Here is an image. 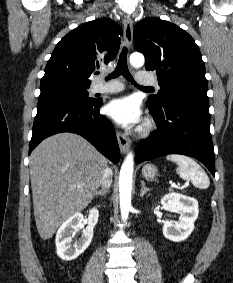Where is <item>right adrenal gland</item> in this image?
Listing matches in <instances>:
<instances>
[{
  "instance_id": "right-adrenal-gland-1",
  "label": "right adrenal gland",
  "mask_w": 233,
  "mask_h": 283,
  "mask_svg": "<svg viewBox=\"0 0 233 283\" xmlns=\"http://www.w3.org/2000/svg\"><path fill=\"white\" fill-rule=\"evenodd\" d=\"M108 190H101V191H98L95 193V196L98 197V196H105L107 194Z\"/></svg>"
}]
</instances>
